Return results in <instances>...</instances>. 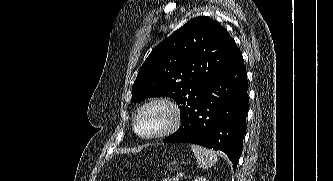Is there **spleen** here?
<instances>
[{
    "label": "spleen",
    "instance_id": "obj_1",
    "mask_svg": "<svg viewBox=\"0 0 333 181\" xmlns=\"http://www.w3.org/2000/svg\"><path fill=\"white\" fill-rule=\"evenodd\" d=\"M190 148L196 156L198 165L203 169L212 167L218 161V157L213 150L194 144L190 145Z\"/></svg>",
    "mask_w": 333,
    "mask_h": 181
}]
</instances>
